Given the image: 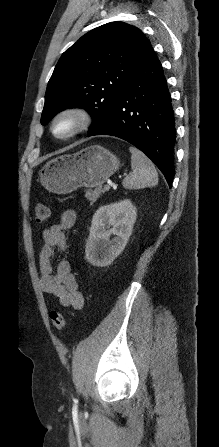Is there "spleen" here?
Here are the masks:
<instances>
[{
	"instance_id": "3e777b00",
	"label": "spleen",
	"mask_w": 219,
	"mask_h": 447,
	"mask_svg": "<svg viewBox=\"0 0 219 447\" xmlns=\"http://www.w3.org/2000/svg\"><path fill=\"white\" fill-rule=\"evenodd\" d=\"M132 172L123 180L126 189H141L155 186L158 183V173L152 161L135 147L129 148Z\"/></svg>"
}]
</instances>
